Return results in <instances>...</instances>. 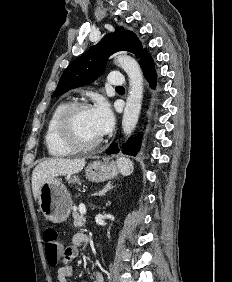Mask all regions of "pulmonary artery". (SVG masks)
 I'll return each instance as SVG.
<instances>
[{
  "label": "pulmonary artery",
  "instance_id": "obj_1",
  "mask_svg": "<svg viewBox=\"0 0 232 282\" xmlns=\"http://www.w3.org/2000/svg\"><path fill=\"white\" fill-rule=\"evenodd\" d=\"M125 82L124 77L119 72H111L108 76V83L113 86H121Z\"/></svg>",
  "mask_w": 232,
  "mask_h": 282
}]
</instances>
